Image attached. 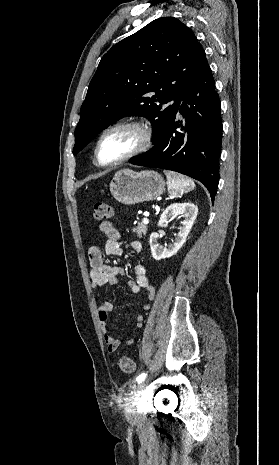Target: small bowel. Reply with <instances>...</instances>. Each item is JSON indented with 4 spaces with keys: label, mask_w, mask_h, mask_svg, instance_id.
<instances>
[{
    "label": "small bowel",
    "mask_w": 279,
    "mask_h": 465,
    "mask_svg": "<svg viewBox=\"0 0 279 465\" xmlns=\"http://www.w3.org/2000/svg\"><path fill=\"white\" fill-rule=\"evenodd\" d=\"M99 230L102 235L106 238L104 246V253L108 256H120L123 253L121 247L120 235L114 224L111 221H103L99 225ZM130 248L133 253L139 254L142 250V244L140 241L134 240L130 243ZM88 258L90 266V278L92 287L94 289L112 286L117 283L118 276L124 274V269L121 266L109 265L104 262L102 250L95 245L88 248ZM133 273L135 279L128 283L132 293H139L142 289L148 291V302L144 304L145 309H149L151 301L154 297V290L149 283V278L146 273V269L143 264L137 263L133 266ZM113 310V304L107 300L98 306L97 314L100 324L101 331L103 333V339L109 353H115L119 346L120 340L113 337L108 332V317L110 312ZM144 316L139 314L137 316L136 328L139 330L143 326ZM133 339H128L127 344H132Z\"/></svg>",
    "instance_id": "small-bowel-1"
}]
</instances>
